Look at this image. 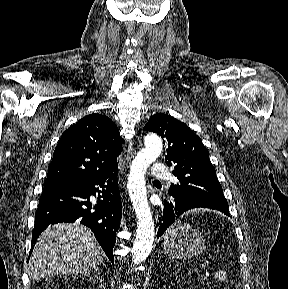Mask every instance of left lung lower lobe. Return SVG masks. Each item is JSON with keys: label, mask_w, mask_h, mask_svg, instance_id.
Wrapping results in <instances>:
<instances>
[{"label": "left lung lower lobe", "mask_w": 288, "mask_h": 289, "mask_svg": "<svg viewBox=\"0 0 288 289\" xmlns=\"http://www.w3.org/2000/svg\"><path fill=\"white\" fill-rule=\"evenodd\" d=\"M199 208L218 210L229 216V212H224L206 202L194 199L173 198L164 206L163 216L159 219V229L157 236L160 237L181 214L188 210Z\"/></svg>", "instance_id": "obj_1"}]
</instances>
